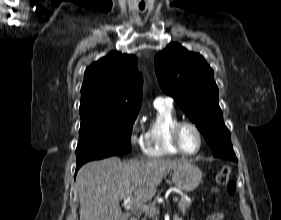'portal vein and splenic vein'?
Returning a JSON list of instances; mask_svg holds the SVG:
<instances>
[{
  "label": "portal vein and splenic vein",
  "instance_id": "portal-vein-and-splenic-vein-1",
  "mask_svg": "<svg viewBox=\"0 0 281 220\" xmlns=\"http://www.w3.org/2000/svg\"><path fill=\"white\" fill-rule=\"evenodd\" d=\"M127 201H129L131 203V205H129V207L134 206L136 209H141L143 211H148V212H152V213L156 212V208L154 206H146L139 200H134L132 198L131 194L127 196ZM172 201L174 203L177 202L178 197H174Z\"/></svg>",
  "mask_w": 281,
  "mask_h": 220
}]
</instances>
